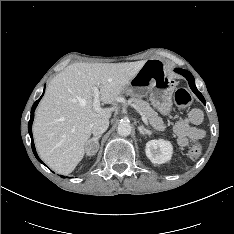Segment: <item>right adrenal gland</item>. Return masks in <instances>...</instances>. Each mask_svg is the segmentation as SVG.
Here are the masks:
<instances>
[{
    "instance_id": "2a0ac1e0",
    "label": "right adrenal gland",
    "mask_w": 234,
    "mask_h": 234,
    "mask_svg": "<svg viewBox=\"0 0 234 234\" xmlns=\"http://www.w3.org/2000/svg\"><path fill=\"white\" fill-rule=\"evenodd\" d=\"M101 138V135H98V136H96V137H93V138H91L90 140H88V142L86 143V146H88L91 142H94L95 144H96V150H95V152H93V153H91V154H89V155H94V153H96L97 151H98V149H99V142H98V140Z\"/></svg>"
}]
</instances>
